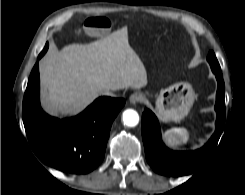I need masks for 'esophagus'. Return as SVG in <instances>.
I'll list each match as a JSON object with an SVG mask.
<instances>
[{
	"mask_svg": "<svg viewBox=\"0 0 245 195\" xmlns=\"http://www.w3.org/2000/svg\"><path fill=\"white\" fill-rule=\"evenodd\" d=\"M129 101L132 105H135L142 101V95L140 93L135 92L129 97Z\"/></svg>",
	"mask_w": 245,
	"mask_h": 195,
	"instance_id": "34e87169",
	"label": "esophagus"
}]
</instances>
